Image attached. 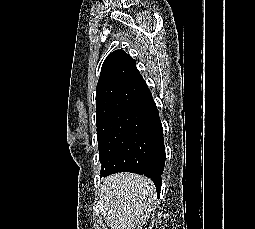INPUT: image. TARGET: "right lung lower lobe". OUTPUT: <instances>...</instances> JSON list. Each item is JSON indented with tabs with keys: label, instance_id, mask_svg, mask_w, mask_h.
Instances as JSON below:
<instances>
[{
	"label": "right lung lower lobe",
	"instance_id": "98d812e1",
	"mask_svg": "<svg viewBox=\"0 0 255 229\" xmlns=\"http://www.w3.org/2000/svg\"><path fill=\"white\" fill-rule=\"evenodd\" d=\"M125 114L131 118L140 120L144 127L156 132V139L149 151L145 163L142 166H135L128 172L145 175L152 179L155 184L158 196L161 190V174L165 165V148L163 139V128L161 125L157 106L153 98L144 104L128 109Z\"/></svg>",
	"mask_w": 255,
	"mask_h": 229
}]
</instances>
